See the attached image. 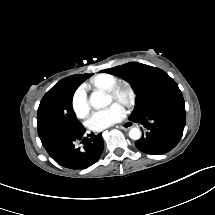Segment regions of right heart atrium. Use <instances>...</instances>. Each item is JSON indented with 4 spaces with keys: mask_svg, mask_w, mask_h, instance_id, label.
Returning a JSON list of instances; mask_svg holds the SVG:
<instances>
[{
    "mask_svg": "<svg viewBox=\"0 0 215 215\" xmlns=\"http://www.w3.org/2000/svg\"><path fill=\"white\" fill-rule=\"evenodd\" d=\"M72 106L74 112L80 117H87L89 115V103L83 91L78 90L74 93Z\"/></svg>",
    "mask_w": 215,
    "mask_h": 215,
    "instance_id": "obj_1",
    "label": "right heart atrium"
}]
</instances>
